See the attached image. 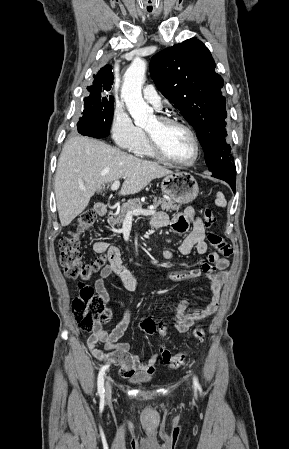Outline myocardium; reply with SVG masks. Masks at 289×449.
<instances>
[{"instance_id": "1", "label": "myocardium", "mask_w": 289, "mask_h": 449, "mask_svg": "<svg viewBox=\"0 0 289 449\" xmlns=\"http://www.w3.org/2000/svg\"><path fill=\"white\" fill-rule=\"evenodd\" d=\"M157 120L161 126L174 125V126L183 128L189 134V136L191 137V139L193 141V144L195 147V155H194L193 159L190 161H179V160L171 158L163 150L158 137L154 133H151L146 130V137L148 140L150 150L153 153V155L163 161H166L168 163H172L175 165H179V166L188 167V166L194 165L199 160L200 155H201V146H200V142L198 140V137H197L195 131L184 121L174 118V117H171V116H168V115H160L157 117Z\"/></svg>"}]
</instances>
